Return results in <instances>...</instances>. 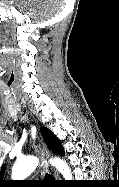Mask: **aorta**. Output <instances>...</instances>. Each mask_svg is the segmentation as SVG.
Segmentation results:
<instances>
[{
    "label": "aorta",
    "mask_w": 119,
    "mask_h": 187,
    "mask_svg": "<svg viewBox=\"0 0 119 187\" xmlns=\"http://www.w3.org/2000/svg\"><path fill=\"white\" fill-rule=\"evenodd\" d=\"M38 163V159L33 156L19 159L12 168V179L24 180L37 168ZM52 163L56 167V169L63 175L65 180H72L71 170L64 160L60 158H54L52 160Z\"/></svg>",
    "instance_id": "1"
}]
</instances>
